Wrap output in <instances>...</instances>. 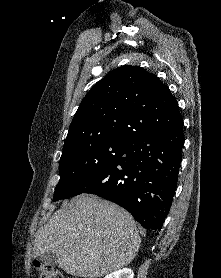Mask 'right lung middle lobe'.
I'll return each instance as SVG.
<instances>
[{
	"instance_id": "obj_1",
	"label": "right lung middle lobe",
	"mask_w": 221,
	"mask_h": 278,
	"mask_svg": "<svg viewBox=\"0 0 221 278\" xmlns=\"http://www.w3.org/2000/svg\"><path fill=\"white\" fill-rule=\"evenodd\" d=\"M129 141L122 138L91 139L63 151L60 180L55 188L53 201L67 199L83 184L121 158Z\"/></svg>"
}]
</instances>
